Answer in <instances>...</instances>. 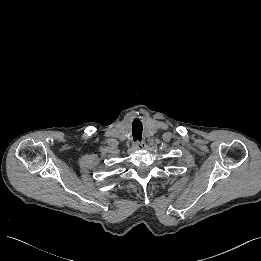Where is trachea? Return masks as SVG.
I'll use <instances>...</instances> for the list:
<instances>
[{"mask_svg": "<svg viewBox=\"0 0 261 261\" xmlns=\"http://www.w3.org/2000/svg\"><path fill=\"white\" fill-rule=\"evenodd\" d=\"M142 130L143 126L141 121L138 118L134 119V121L132 122V135L134 141H141Z\"/></svg>", "mask_w": 261, "mask_h": 261, "instance_id": "obj_1", "label": "trachea"}]
</instances>
